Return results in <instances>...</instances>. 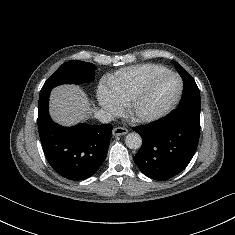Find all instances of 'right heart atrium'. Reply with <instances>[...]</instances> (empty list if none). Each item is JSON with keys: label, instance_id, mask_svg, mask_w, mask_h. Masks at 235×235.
Wrapping results in <instances>:
<instances>
[{"label": "right heart atrium", "instance_id": "d8ad5b80", "mask_svg": "<svg viewBox=\"0 0 235 235\" xmlns=\"http://www.w3.org/2000/svg\"><path fill=\"white\" fill-rule=\"evenodd\" d=\"M98 100L103 108L112 114H116L120 110V105L112 98L108 90L100 87L98 90Z\"/></svg>", "mask_w": 235, "mask_h": 235}]
</instances>
